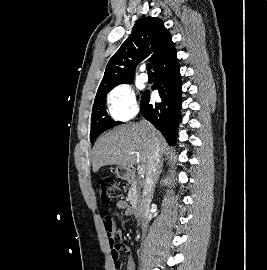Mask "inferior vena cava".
I'll return each instance as SVG.
<instances>
[{
  "mask_svg": "<svg viewBox=\"0 0 267 270\" xmlns=\"http://www.w3.org/2000/svg\"><path fill=\"white\" fill-rule=\"evenodd\" d=\"M143 125L150 127L151 125L142 120L141 122ZM160 150L156 143L152 146L151 156L149 159L147 171H146V178L143 185V193L142 199L140 203V212L142 214V230L145 233L147 231L148 226V215L150 209V203L153 197V191L155 187V183L158 181L159 178V167H160Z\"/></svg>",
  "mask_w": 267,
  "mask_h": 270,
  "instance_id": "inferior-vena-cava-1",
  "label": "inferior vena cava"
}]
</instances>
